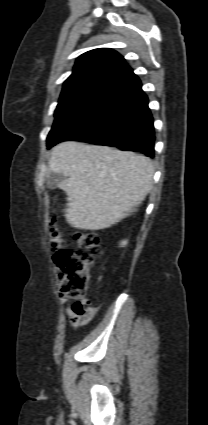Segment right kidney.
<instances>
[{
    "instance_id": "obj_1",
    "label": "right kidney",
    "mask_w": 208,
    "mask_h": 425,
    "mask_svg": "<svg viewBox=\"0 0 208 425\" xmlns=\"http://www.w3.org/2000/svg\"><path fill=\"white\" fill-rule=\"evenodd\" d=\"M127 244V241H122L121 245L125 246Z\"/></svg>"
}]
</instances>
